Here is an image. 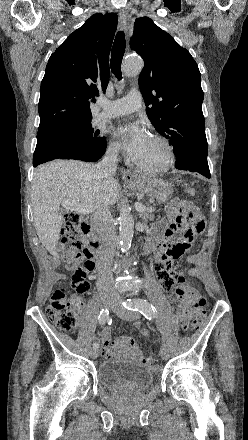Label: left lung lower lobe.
Masks as SVG:
<instances>
[{
	"instance_id": "0a47b994",
	"label": "left lung lower lobe",
	"mask_w": 248,
	"mask_h": 440,
	"mask_svg": "<svg viewBox=\"0 0 248 440\" xmlns=\"http://www.w3.org/2000/svg\"><path fill=\"white\" fill-rule=\"evenodd\" d=\"M175 167L179 170L198 172L207 178L211 177L207 155L203 153L185 154L177 157Z\"/></svg>"
}]
</instances>
